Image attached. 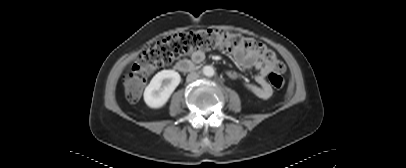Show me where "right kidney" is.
I'll list each match as a JSON object with an SVG mask.
<instances>
[{"label":"right kidney","instance_id":"ca27d5eb","mask_svg":"<svg viewBox=\"0 0 406 168\" xmlns=\"http://www.w3.org/2000/svg\"><path fill=\"white\" fill-rule=\"evenodd\" d=\"M180 81L179 73L174 70L158 72L144 91L145 103L154 109L163 107Z\"/></svg>","mask_w":406,"mask_h":168}]
</instances>
